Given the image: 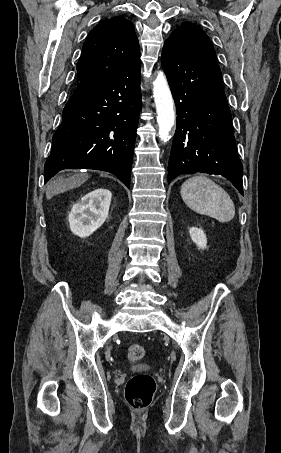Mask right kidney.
I'll return each mask as SVG.
<instances>
[{"label":"right kidney","instance_id":"ca27d5eb","mask_svg":"<svg viewBox=\"0 0 281 453\" xmlns=\"http://www.w3.org/2000/svg\"><path fill=\"white\" fill-rule=\"evenodd\" d=\"M111 196L112 192L108 188H95L84 194L69 212L70 231L78 237H90L106 220Z\"/></svg>","mask_w":281,"mask_h":453}]
</instances>
